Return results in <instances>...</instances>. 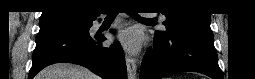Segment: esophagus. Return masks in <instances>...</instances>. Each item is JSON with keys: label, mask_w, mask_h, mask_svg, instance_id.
I'll return each instance as SVG.
<instances>
[{"label": "esophagus", "mask_w": 255, "mask_h": 79, "mask_svg": "<svg viewBox=\"0 0 255 79\" xmlns=\"http://www.w3.org/2000/svg\"><path fill=\"white\" fill-rule=\"evenodd\" d=\"M126 66H127L128 77L130 79L136 78V73H137L136 62L133 58H131L128 55H126Z\"/></svg>", "instance_id": "esophagus-1"}]
</instances>
